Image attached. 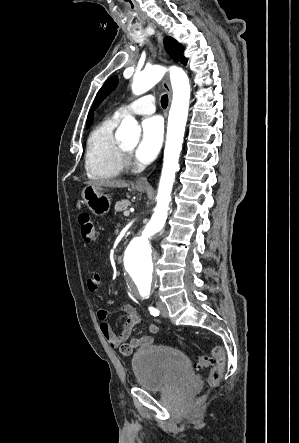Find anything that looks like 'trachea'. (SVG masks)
Masks as SVG:
<instances>
[{"mask_svg":"<svg viewBox=\"0 0 299 443\" xmlns=\"http://www.w3.org/2000/svg\"><path fill=\"white\" fill-rule=\"evenodd\" d=\"M161 105L163 108H166L168 105V96L166 94L161 98Z\"/></svg>","mask_w":299,"mask_h":443,"instance_id":"obj_1","label":"trachea"}]
</instances>
